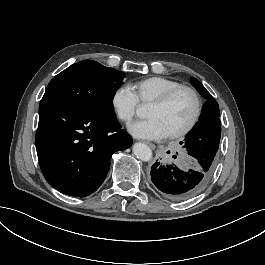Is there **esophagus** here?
Masks as SVG:
<instances>
[{
    "mask_svg": "<svg viewBox=\"0 0 265 265\" xmlns=\"http://www.w3.org/2000/svg\"><path fill=\"white\" fill-rule=\"evenodd\" d=\"M144 144H146L148 147H150L152 150H155L156 146L153 143L143 141Z\"/></svg>",
    "mask_w": 265,
    "mask_h": 265,
    "instance_id": "esophagus-1",
    "label": "esophagus"
}]
</instances>
